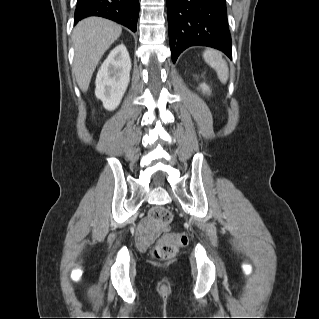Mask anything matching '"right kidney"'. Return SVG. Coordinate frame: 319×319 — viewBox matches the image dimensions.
<instances>
[{"label": "right kidney", "instance_id": "ca27d5eb", "mask_svg": "<svg viewBox=\"0 0 319 319\" xmlns=\"http://www.w3.org/2000/svg\"><path fill=\"white\" fill-rule=\"evenodd\" d=\"M131 60L126 47H115L101 65L96 76L95 95L105 109L115 110L130 81Z\"/></svg>", "mask_w": 319, "mask_h": 319}]
</instances>
